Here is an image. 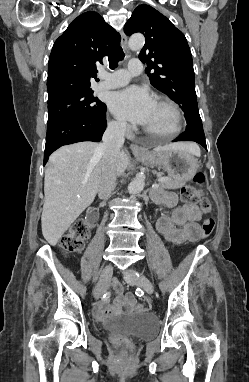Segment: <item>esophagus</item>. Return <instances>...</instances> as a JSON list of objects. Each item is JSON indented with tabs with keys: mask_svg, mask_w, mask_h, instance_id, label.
<instances>
[{
	"mask_svg": "<svg viewBox=\"0 0 249 382\" xmlns=\"http://www.w3.org/2000/svg\"><path fill=\"white\" fill-rule=\"evenodd\" d=\"M121 45L125 50H128L127 37L124 32H121ZM130 149L134 154H144L145 150L136 143L130 144Z\"/></svg>",
	"mask_w": 249,
	"mask_h": 382,
	"instance_id": "1",
	"label": "esophagus"
}]
</instances>
